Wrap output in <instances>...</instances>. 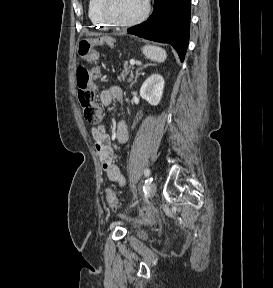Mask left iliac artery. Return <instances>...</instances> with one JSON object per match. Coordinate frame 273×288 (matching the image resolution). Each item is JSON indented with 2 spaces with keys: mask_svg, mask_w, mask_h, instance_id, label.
<instances>
[{
  "mask_svg": "<svg viewBox=\"0 0 273 288\" xmlns=\"http://www.w3.org/2000/svg\"><path fill=\"white\" fill-rule=\"evenodd\" d=\"M144 175H145L146 177H149V176H150V170H149V169H146V170L144 171ZM152 180H153L152 177L148 179L149 182H151Z\"/></svg>",
  "mask_w": 273,
  "mask_h": 288,
  "instance_id": "obj_1",
  "label": "left iliac artery"
}]
</instances>
